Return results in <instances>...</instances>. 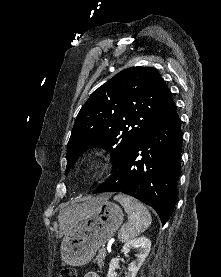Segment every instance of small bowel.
I'll return each instance as SVG.
<instances>
[{
    "label": "small bowel",
    "instance_id": "small-bowel-1",
    "mask_svg": "<svg viewBox=\"0 0 221 277\" xmlns=\"http://www.w3.org/2000/svg\"><path fill=\"white\" fill-rule=\"evenodd\" d=\"M84 277H99L97 273L94 272H88L85 274Z\"/></svg>",
    "mask_w": 221,
    "mask_h": 277
}]
</instances>
